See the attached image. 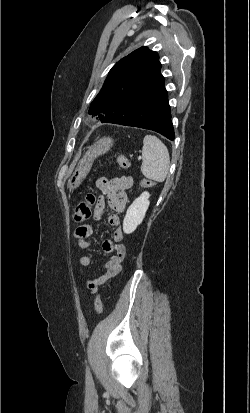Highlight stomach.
Returning a JSON list of instances; mask_svg holds the SVG:
<instances>
[{"mask_svg":"<svg viewBox=\"0 0 250 413\" xmlns=\"http://www.w3.org/2000/svg\"><path fill=\"white\" fill-rule=\"evenodd\" d=\"M112 145L113 140L109 137H104L89 148L83 158L78 162L73 174L67 182L69 192H73L80 186L89 173L95 158L108 152Z\"/></svg>","mask_w":250,"mask_h":413,"instance_id":"1","label":"stomach"}]
</instances>
